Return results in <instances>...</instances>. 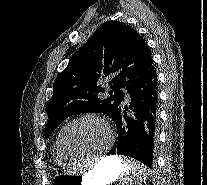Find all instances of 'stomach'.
I'll list each match as a JSON object with an SVG mask.
<instances>
[{
	"label": "stomach",
	"mask_w": 207,
	"mask_h": 185,
	"mask_svg": "<svg viewBox=\"0 0 207 185\" xmlns=\"http://www.w3.org/2000/svg\"><path fill=\"white\" fill-rule=\"evenodd\" d=\"M124 163L117 156L102 158L95 167L83 175H58L52 185H107L122 176Z\"/></svg>",
	"instance_id": "obj_1"
}]
</instances>
